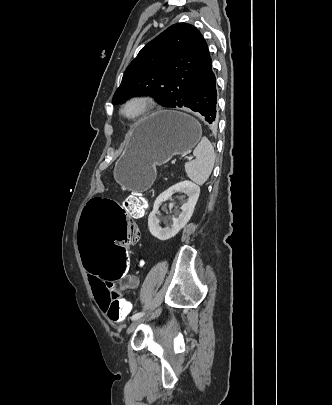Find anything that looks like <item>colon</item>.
Listing matches in <instances>:
<instances>
[{"instance_id":"1","label":"colon","mask_w":332,"mask_h":405,"mask_svg":"<svg viewBox=\"0 0 332 405\" xmlns=\"http://www.w3.org/2000/svg\"><path fill=\"white\" fill-rule=\"evenodd\" d=\"M122 205L127 211L113 197H89L82 220L77 221L82 268L88 275H103L101 284L108 294L105 313L113 323L133 312L114 288L113 281L128 275L130 249H136L140 236V227H136V220H131V212L142 214L146 209L139 193L127 197Z\"/></svg>"}]
</instances>
